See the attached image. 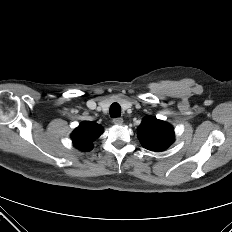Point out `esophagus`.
Here are the masks:
<instances>
[{"label": "esophagus", "mask_w": 232, "mask_h": 232, "mask_svg": "<svg viewBox=\"0 0 232 232\" xmlns=\"http://www.w3.org/2000/svg\"><path fill=\"white\" fill-rule=\"evenodd\" d=\"M113 123L116 125H121V124H123V119L122 118H114Z\"/></svg>", "instance_id": "esophagus-1"}]
</instances>
